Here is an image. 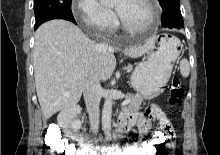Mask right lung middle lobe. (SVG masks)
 <instances>
[{
  "label": "right lung middle lobe",
  "instance_id": "right-lung-middle-lobe-1",
  "mask_svg": "<svg viewBox=\"0 0 220 155\" xmlns=\"http://www.w3.org/2000/svg\"><path fill=\"white\" fill-rule=\"evenodd\" d=\"M34 13L36 22L56 14L73 16L71 0H34Z\"/></svg>",
  "mask_w": 220,
  "mask_h": 155
}]
</instances>
